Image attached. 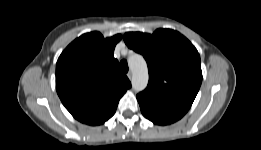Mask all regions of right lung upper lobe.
Listing matches in <instances>:
<instances>
[{
  "mask_svg": "<svg viewBox=\"0 0 261 150\" xmlns=\"http://www.w3.org/2000/svg\"><path fill=\"white\" fill-rule=\"evenodd\" d=\"M121 39L120 34L104 38L99 32L86 33L58 58L57 93L66 109L82 123L99 125L107 121L131 87L113 56Z\"/></svg>",
  "mask_w": 261,
  "mask_h": 150,
  "instance_id": "1",
  "label": "right lung upper lobe"
}]
</instances>
